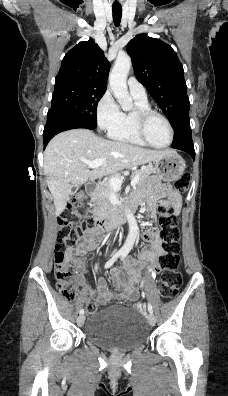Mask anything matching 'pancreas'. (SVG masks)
Masks as SVG:
<instances>
[{
    "mask_svg": "<svg viewBox=\"0 0 228 396\" xmlns=\"http://www.w3.org/2000/svg\"><path fill=\"white\" fill-rule=\"evenodd\" d=\"M154 173V169L151 166H146L145 168L135 171L132 173L131 178L135 175H139V182L137 185L143 184L148 177ZM115 177L122 178L119 175ZM109 179L103 180L100 184H98L94 194L92 195L91 201L93 203V216L97 220H105L107 219L113 212V206L110 203V196L112 194H116V191L113 190L109 185Z\"/></svg>",
    "mask_w": 228,
    "mask_h": 396,
    "instance_id": "obj_1",
    "label": "pancreas"
}]
</instances>
